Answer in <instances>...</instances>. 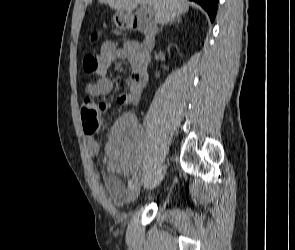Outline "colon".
I'll return each mask as SVG.
<instances>
[{"instance_id":"colon-1","label":"colon","mask_w":295,"mask_h":250,"mask_svg":"<svg viewBox=\"0 0 295 250\" xmlns=\"http://www.w3.org/2000/svg\"><path fill=\"white\" fill-rule=\"evenodd\" d=\"M83 68L87 73L95 74L98 71V57L94 54H86L83 58ZM101 108L92 99L85 98L81 108V118L84 132L91 136L98 132L102 126Z\"/></svg>"}]
</instances>
